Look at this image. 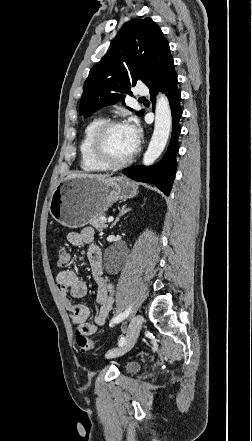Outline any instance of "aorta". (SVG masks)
Masks as SVG:
<instances>
[{
    "label": "aorta",
    "instance_id": "aorta-1",
    "mask_svg": "<svg viewBox=\"0 0 252 441\" xmlns=\"http://www.w3.org/2000/svg\"><path fill=\"white\" fill-rule=\"evenodd\" d=\"M172 125V116L169 101L164 94L156 100L154 132L143 157V165H152L163 152Z\"/></svg>",
    "mask_w": 252,
    "mask_h": 441
}]
</instances>
